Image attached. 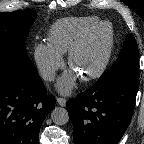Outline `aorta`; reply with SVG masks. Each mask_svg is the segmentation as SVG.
Masks as SVG:
<instances>
[{"label":"aorta","instance_id":"aorta-1","mask_svg":"<svg viewBox=\"0 0 144 144\" xmlns=\"http://www.w3.org/2000/svg\"><path fill=\"white\" fill-rule=\"evenodd\" d=\"M51 119L56 125H65L69 121V115L65 108L55 107L51 112Z\"/></svg>","mask_w":144,"mask_h":144}]
</instances>
